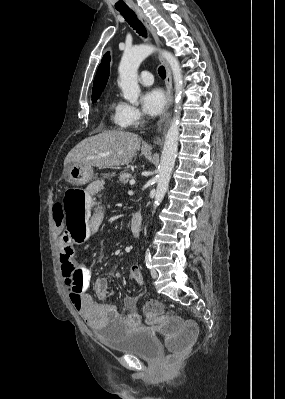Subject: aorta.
<instances>
[{"mask_svg": "<svg viewBox=\"0 0 285 399\" xmlns=\"http://www.w3.org/2000/svg\"><path fill=\"white\" fill-rule=\"evenodd\" d=\"M156 48L153 45L141 44L129 49H125L118 68V86L123 92L125 100L133 105L138 104L140 88L137 80V70L144 59L151 55ZM162 56L169 64L173 73L175 83V115L166 133L164 146L159 165V175L154 200V208L162 202L169 185L172 170L178 150L180 110L182 102L183 76L180 64L170 52L162 51Z\"/></svg>", "mask_w": 285, "mask_h": 399, "instance_id": "762f6f07", "label": "aorta"}]
</instances>
